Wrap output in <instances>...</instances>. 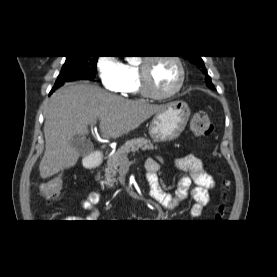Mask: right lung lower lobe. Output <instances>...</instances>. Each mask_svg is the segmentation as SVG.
<instances>
[{
    "label": "right lung lower lobe",
    "instance_id": "right-lung-lower-lobe-1",
    "mask_svg": "<svg viewBox=\"0 0 277 277\" xmlns=\"http://www.w3.org/2000/svg\"><path fill=\"white\" fill-rule=\"evenodd\" d=\"M77 79H79V78L76 77L75 75L59 77L57 79V81L55 82L54 87L50 93H52L57 87L61 86L64 82L70 81V80H77Z\"/></svg>",
    "mask_w": 277,
    "mask_h": 277
}]
</instances>
